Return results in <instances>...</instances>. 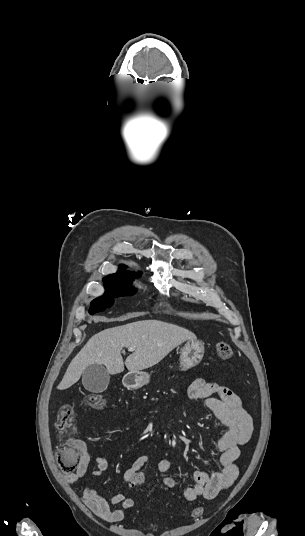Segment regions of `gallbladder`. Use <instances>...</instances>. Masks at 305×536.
<instances>
[{
	"mask_svg": "<svg viewBox=\"0 0 305 536\" xmlns=\"http://www.w3.org/2000/svg\"><path fill=\"white\" fill-rule=\"evenodd\" d=\"M110 382V376L101 364H91L87 366L82 374V384L85 390L93 392V394H100L107 390Z\"/></svg>",
	"mask_w": 305,
	"mask_h": 536,
	"instance_id": "gallbladder-1",
	"label": "gallbladder"
}]
</instances>
